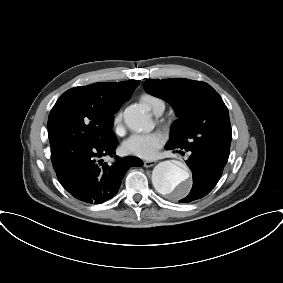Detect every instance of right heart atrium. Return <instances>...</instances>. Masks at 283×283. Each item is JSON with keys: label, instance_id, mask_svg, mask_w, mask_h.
Segmentation results:
<instances>
[{"label": "right heart atrium", "instance_id": "d8ad5b80", "mask_svg": "<svg viewBox=\"0 0 283 283\" xmlns=\"http://www.w3.org/2000/svg\"><path fill=\"white\" fill-rule=\"evenodd\" d=\"M122 120H123V114L121 111H118L113 118V126L116 131H120L122 127Z\"/></svg>", "mask_w": 283, "mask_h": 283}]
</instances>
